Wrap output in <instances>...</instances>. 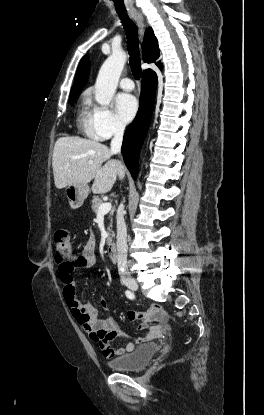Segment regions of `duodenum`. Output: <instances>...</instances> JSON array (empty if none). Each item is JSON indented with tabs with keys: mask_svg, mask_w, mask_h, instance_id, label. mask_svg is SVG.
Returning <instances> with one entry per match:
<instances>
[{
	"mask_svg": "<svg viewBox=\"0 0 264 415\" xmlns=\"http://www.w3.org/2000/svg\"><path fill=\"white\" fill-rule=\"evenodd\" d=\"M107 256L111 263H114L116 261L117 248H116V243L113 240H110L107 243Z\"/></svg>",
	"mask_w": 264,
	"mask_h": 415,
	"instance_id": "1",
	"label": "duodenum"
}]
</instances>
